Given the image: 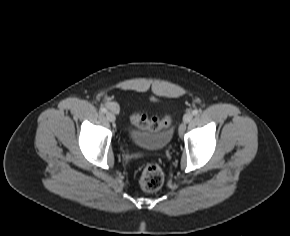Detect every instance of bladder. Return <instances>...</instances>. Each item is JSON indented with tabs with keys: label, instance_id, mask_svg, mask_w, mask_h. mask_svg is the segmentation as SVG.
Here are the masks:
<instances>
[{
	"label": "bladder",
	"instance_id": "31cf9c89",
	"mask_svg": "<svg viewBox=\"0 0 290 236\" xmlns=\"http://www.w3.org/2000/svg\"><path fill=\"white\" fill-rule=\"evenodd\" d=\"M172 135L173 130L171 126L154 133L135 128H130L126 132V137L131 143L146 150L165 149L170 144Z\"/></svg>",
	"mask_w": 290,
	"mask_h": 236
}]
</instances>
